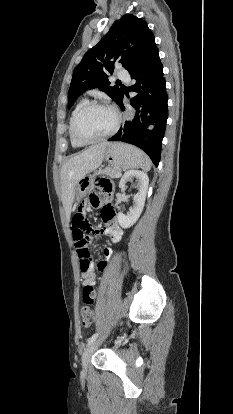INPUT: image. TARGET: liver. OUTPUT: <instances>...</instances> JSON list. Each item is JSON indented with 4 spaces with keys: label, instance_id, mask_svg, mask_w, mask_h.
<instances>
[{
    "label": "liver",
    "instance_id": "obj_1",
    "mask_svg": "<svg viewBox=\"0 0 233 414\" xmlns=\"http://www.w3.org/2000/svg\"><path fill=\"white\" fill-rule=\"evenodd\" d=\"M111 143L101 142L92 145L81 153L74 155L64 163L61 169V186L63 207L70 218L75 196V188L88 173L96 170L102 163L106 148Z\"/></svg>",
    "mask_w": 233,
    "mask_h": 414
}]
</instances>
